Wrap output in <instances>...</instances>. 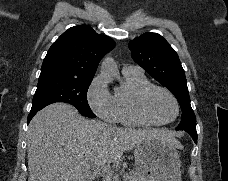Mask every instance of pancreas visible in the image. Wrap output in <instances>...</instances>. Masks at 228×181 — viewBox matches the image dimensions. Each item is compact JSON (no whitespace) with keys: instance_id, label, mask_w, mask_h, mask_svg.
Returning <instances> with one entry per match:
<instances>
[{"instance_id":"1","label":"pancreas","mask_w":228,"mask_h":181,"mask_svg":"<svg viewBox=\"0 0 228 181\" xmlns=\"http://www.w3.org/2000/svg\"><path fill=\"white\" fill-rule=\"evenodd\" d=\"M104 177H106V181H111L110 177L103 173ZM123 181H140V175L136 173V171H129V173H124L123 171Z\"/></svg>"}]
</instances>
